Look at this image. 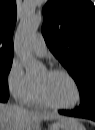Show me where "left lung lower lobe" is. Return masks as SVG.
Returning <instances> with one entry per match:
<instances>
[{
  "label": "left lung lower lobe",
  "instance_id": "obj_1",
  "mask_svg": "<svg viewBox=\"0 0 95 130\" xmlns=\"http://www.w3.org/2000/svg\"><path fill=\"white\" fill-rule=\"evenodd\" d=\"M60 114L95 120V91L91 92L76 110H60Z\"/></svg>",
  "mask_w": 95,
  "mask_h": 130
}]
</instances>
